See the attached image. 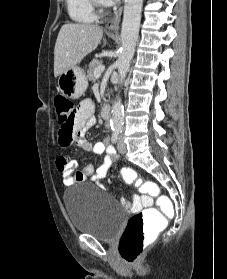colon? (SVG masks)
Masks as SVG:
<instances>
[{"label": "colon", "instance_id": "obj_1", "mask_svg": "<svg viewBox=\"0 0 227 279\" xmlns=\"http://www.w3.org/2000/svg\"><path fill=\"white\" fill-rule=\"evenodd\" d=\"M55 107L57 120L61 125L59 135L67 140L79 130L76 125L74 102L68 97L59 95L55 98ZM123 178L126 182L134 183L136 187L149 191L148 194L142 195V198L156 196L158 202H162L165 198L161 195V190L156 183L143 179L134 170L124 171ZM169 218V215L157 208H144L134 214L129 219L119 244L121 257L130 263L136 261L143 251L144 239L160 231Z\"/></svg>", "mask_w": 227, "mask_h": 279}]
</instances>
